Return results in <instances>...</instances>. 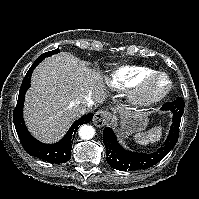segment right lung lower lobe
Instances as JSON below:
<instances>
[{
	"instance_id": "1",
	"label": "right lung lower lobe",
	"mask_w": 199,
	"mask_h": 199,
	"mask_svg": "<svg viewBox=\"0 0 199 199\" xmlns=\"http://www.w3.org/2000/svg\"><path fill=\"white\" fill-rule=\"evenodd\" d=\"M42 60L37 59L24 77L19 91L17 105L13 112V121L18 137L28 154L49 163H64L71 157L72 143L77 129L82 124L89 123L92 120L93 114L89 113L75 121L67 134L55 144L41 143L29 133L23 119L24 95L30 87V79L33 70Z\"/></svg>"
}]
</instances>
